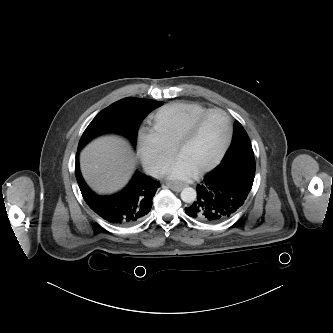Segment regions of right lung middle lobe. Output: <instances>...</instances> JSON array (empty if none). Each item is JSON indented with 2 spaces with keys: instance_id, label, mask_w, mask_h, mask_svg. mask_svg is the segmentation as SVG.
<instances>
[{
  "instance_id": "obj_1",
  "label": "right lung middle lobe",
  "mask_w": 333,
  "mask_h": 333,
  "mask_svg": "<svg viewBox=\"0 0 333 333\" xmlns=\"http://www.w3.org/2000/svg\"><path fill=\"white\" fill-rule=\"evenodd\" d=\"M163 102L128 97L117 101L96 115L84 131L79 145L80 150L94 137L108 132L125 135L136 146L138 128L143 119Z\"/></svg>"
}]
</instances>
